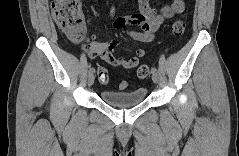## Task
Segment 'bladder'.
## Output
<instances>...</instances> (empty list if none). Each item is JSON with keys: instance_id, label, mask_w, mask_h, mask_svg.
I'll return each instance as SVG.
<instances>
[{"instance_id": "obj_1", "label": "bladder", "mask_w": 239, "mask_h": 156, "mask_svg": "<svg viewBox=\"0 0 239 156\" xmlns=\"http://www.w3.org/2000/svg\"><path fill=\"white\" fill-rule=\"evenodd\" d=\"M147 96L145 87H138L131 91L103 90L101 99L108 105L116 108H130L143 102Z\"/></svg>"}]
</instances>
